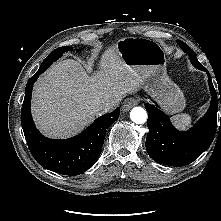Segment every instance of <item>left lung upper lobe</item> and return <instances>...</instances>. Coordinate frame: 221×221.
Instances as JSON below:
<instances>
[{"mask_svg":"<svg viewBox=\"0 0 221 221\" xmlns=\"http://www.w3.org/2000/svg\"><path fill=\"white\" fill-rule=\"evenodd\" d=\"M177 42L180 45V47L184 50V52L189 55L192 64L194 66L200 65L199 61L197 60V58L195 56L194 51L190 47H188L184 42H182L180 40H178Z\"/></svg>","mask_w":221,"mask_h":221,"instance_id":"1","label":"left lung upper lobe"}]
</instances>
